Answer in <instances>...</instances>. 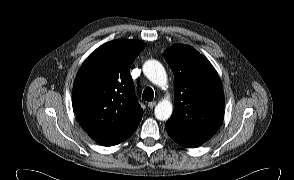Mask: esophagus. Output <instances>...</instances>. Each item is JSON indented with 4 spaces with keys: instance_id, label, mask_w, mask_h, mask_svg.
Listing matches in <instances>:
<instances>
[{
    "instance_id": "1",
    "label": "esophagus",
    "mask_w": 294,
    "mask_h": 180,
    "mask_svg": "<svg viewBox=\"0 0 294 180\" xmlns=\"http://www.w3.org/2000/svg\"><path fill=\"white\" fill-rule=\"evenodd\" d=\"M155 105H156L155 101L148 102V107L151 108V109L154 108Z\"/></svg>"
}]
</instances>
